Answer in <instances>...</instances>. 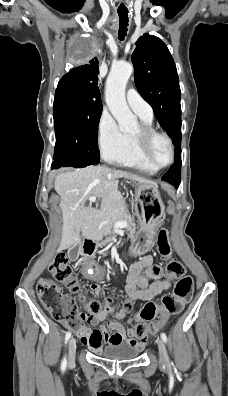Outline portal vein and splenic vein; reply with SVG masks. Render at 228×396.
Segmentation results:
<instances>
[{
    "label": "portal vein and splenic vein",
    "mask_w": 228,
    "mask_h": 396,
    "mask_svg": "<svg viewBox=\"0 0 228 396\" xmlns=\"http://www.w3.org/2000/svg\"><path fill=\"white\" fill-rule=\"evenodd\" d=\"M89 200H90L91 203L96 202V196H90ZM127 225H128V223L125 222V221L124 222H116L115 223L116 227H126Z\"/></svg>",
    "instance_id": "obj_1"
}]
</instances>
